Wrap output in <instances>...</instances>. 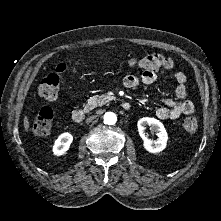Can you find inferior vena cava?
<instances>
[{
  "label": "inferior vena cava",
  "instance_id": "obj_1",
  "mask_svg": "<svg viewBox=\"0 0 221 221\" xmlns=\"http://www.w3.org/2000/svg\"><path fill=\"white\" fill-rule=\"evenodd\" d=\"M96 118V115H92L86 119V123L92 122Z\"/></svg>",
  "mask_w": 221,
  "mask_h": 221
}]
</instances>
